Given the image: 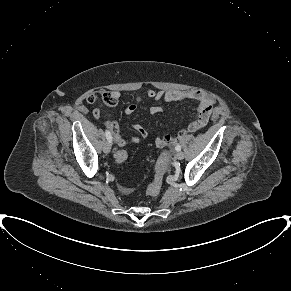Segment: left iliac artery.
Masks as SVG:
<instances>
[{"mask_svg":"<svg viewBox=\"0 0 291 291\" xmlns=\"http://www.w3.org/2000/svg\"><path fill=\"white\" fill-rule=\"evenodd\" d=\"M175 149H176V151H180V150H181V146H180V145H177V146L175 147Z\"/></svg>","mask_w":291,"mask_h":291,"instance_id":"left-iliac-artery-1","label":"left iliac artery"}]
</instances>
